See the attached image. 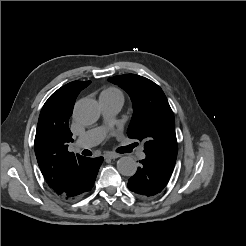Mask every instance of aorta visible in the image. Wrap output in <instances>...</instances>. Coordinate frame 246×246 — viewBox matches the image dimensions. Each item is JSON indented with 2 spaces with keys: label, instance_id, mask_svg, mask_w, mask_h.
I'll list each match as a JSON object with an SVG mask.
<instances>
[{
  "label": "aorta",
  "instance_id": "obj_1",
  "mask_svg": "<svg viewBox=\"0 0 246 246\" xmlns=\"http://www.w3.org/2000/svg\"><path fill=\"white\" fill-rule=\"evenodd\" d=\"M100 112L98 103L93 99L79 100L73 110V118L82 125L95 123ZM117 170L124 176H133L137 171V162L130 156H123L117 161Z\"/></svg>",
  "mask_w": 246,
  "mask_h": 246
}]
</instances>
